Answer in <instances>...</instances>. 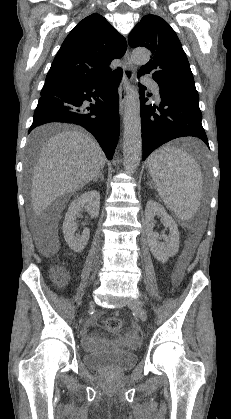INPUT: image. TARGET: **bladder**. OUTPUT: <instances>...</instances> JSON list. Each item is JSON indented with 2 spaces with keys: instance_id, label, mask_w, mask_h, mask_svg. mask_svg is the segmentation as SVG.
Returning <instances> with one entry per match:
<instances>
[{
  "instance_id": "1",
  "label": "bladder",
  "mask_w": 231,
  "mask_h": 419,
  "mask_svg": "<svg viewBox=\"0 0 231 419\" xmlns=\"http://www.w3.org/2000/svg\"><path fill=\"white\" fill-rule=\"evenodd\" d=\"M138 362L136 353L125 350H112L108 352L88 353L84 356V364L89 369H112L123 371Z\"/></svg>"
}]
</instances>
